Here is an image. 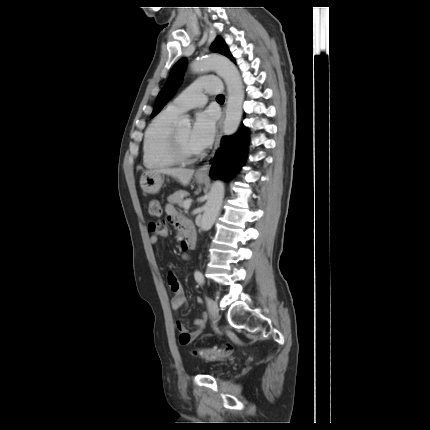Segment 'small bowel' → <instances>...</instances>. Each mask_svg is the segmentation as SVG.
Returning <instances> with one entry per match:
<instances>
[{
    "instance_id": "small-bowel-1",
    "label": "small bowel",
    "mask_w": 430,
    "mask_h": 430,
    "mask_svg": "<svg viewBox=\"0 0 430 430\" xmlns=\"http://www.w3.org/2000/svg\"><path fill=\"white\" fill-rule=\"evenodd\" d=\"M165 212L167 215V221L173 224L179 231H181L184 235L188 233H192V226L188 221L182 218L174 206L168 204L165 206ZM149 231V239L150 243L155 246L161 237H165L167 235V229L164 225V221H154L149 223L148 225ZM183 250V243H182ZM185 258H187L185 256ZM168 282L173 292V297L171 299V307L173 310H179L187 304V297L184 293V290L181 284L177 281L176 277L172 274L168 277ZM207 317L205 314H202L198 318L195 319V329L193 331H189L184 322L182 320H177L176 326L179 331V342L183 346H191L193 342L201 335L206 325Z\"/></svg>"
}]
</instances>
